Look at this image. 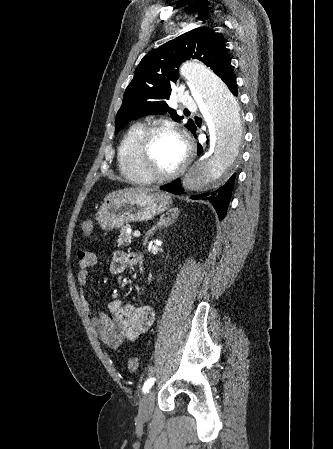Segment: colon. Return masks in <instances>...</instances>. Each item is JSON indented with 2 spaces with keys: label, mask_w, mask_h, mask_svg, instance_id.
<instances>
[{
  "label": "colon",
  "mask_w": 333,
  "mask_h": 449,
  "mask_svg": "<svg viewBox=\"0 0 333 449\" xmlns=\"http://www.w3.org/2000/svg\"><path fill=\"white\" fill-rule=\"evenodd\" d=\"M93 231V221L87 220L82 225V233L89 236ZM127 367L130 372H136L139 369V361L136 357L128 359Z\"/></svg>",
  "instance_id": "obj_1"
}]
</instances>
